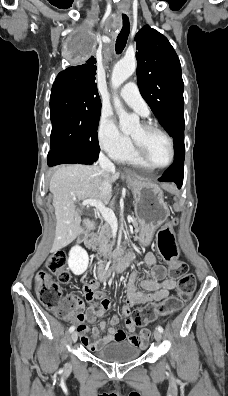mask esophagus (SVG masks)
I'll return each mask as SVG.
<instances>
[{"instance_id": "1", "label": "esophagus", "mask_w": 228, "mask_h": 396, "mask_svg": "<svg viewBox=\"0 0 228 396\" xmlns=\"http://www.w3.org/2000/svg\"><path fill=\"white\" fill-rule=\"evenodd\" d=\"M124 11H126V10H124ZM125 172H126V173H130V172H129V171H127V170H125Z\"/></svg>"}]
</instances>
